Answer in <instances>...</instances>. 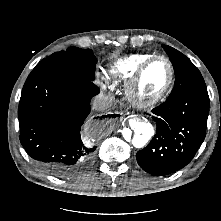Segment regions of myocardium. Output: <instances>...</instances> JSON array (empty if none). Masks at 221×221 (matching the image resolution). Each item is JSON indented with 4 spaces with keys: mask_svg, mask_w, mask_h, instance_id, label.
<instances>
[{
    "mask_svg": "<svg viewBox=\"0 0 221 221\" xmlns=\"http://www.w3.org/2000/svg\"><path fill=\"white\" fill-rule=\"evenodd\" d=\"M163 60L166 62L168 65L169 69V77L168 81L165 85V87L156 95L152 97H143L139 92H138V85L139 82L147 70V68L156 60ZM174 80H175V70L173 63L171 60L164 56V55H153L146 59L144 62L141 63V65L138 67V69L135 71V73L132 75V77L127 81L125 85V93L126 96L129 100V102L137 107H151L162 100H164L169 93L171 92L173 85H174Z\"/></svg>",
    "mask_w": 221,
    "mask_h": 221,
    "instance_id": "obj_1",
    "label": "myocardium"
}]
</instances>
